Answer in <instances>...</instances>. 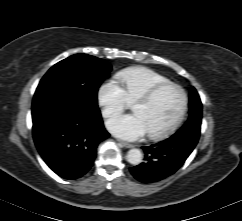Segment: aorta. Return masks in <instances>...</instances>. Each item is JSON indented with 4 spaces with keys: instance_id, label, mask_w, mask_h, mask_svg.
I'll return each mask as SVG.
<instances>
[{
    "instance_id": "aorta-1",
    "label": "aorta",
    "mask_w": 242,
    "mask_h": 221,
    "mask_svg": "<svg viewBox=\"0 0 242 221\" xmlns=\"http://www.w3.org/2000/svg\"><path fill=\"white\" fill-rule=\"evenodd\" d=\"M142 153L139 149H130L127 153L126 159L132 165H139L142 162Z\"/></svg>"
}]
</instances>
